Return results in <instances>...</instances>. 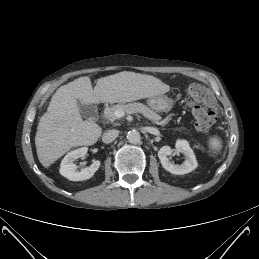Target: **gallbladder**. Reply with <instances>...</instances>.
Listing matches in <instances>:
<instances>
[{
	"label": "gallbladder",
	"mask_w": 259,
	"mask_h": 259,
	"mask_svg": "<svg viewBox=\"0 0 259 259\" xmlns=\"http://www.w3.org/2000/svg\"><path fill=\"white\" fill-rule=\"evenodd\" d=\"M78 106L80 109V112L82 116L86 119H95L97 116V108L95 105L90 104V105H84L80 102H78Z\"/></svg>",
	"instance_id": "gallbladder-1"
}]
</instances>
